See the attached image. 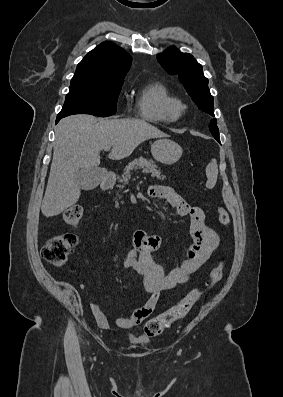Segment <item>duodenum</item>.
I'll list each match as a JSON object with an SVG mask.
<instances>
[{"mask_svg": "<svg viewBox=\"0 0 283 397\" xmlns=\"http://www.w3.org/2000/svg\"><path fill=\"white\" fill-rule=\"evenodd\" d=\"M114 184H115V177L113 175H107L101 183V188L103 190H109L114 186Z\"/></svg>", "mask_w": 283, "mask_h": 397, "instance_id": "410a0bca", "label": "duodenum"}]
</instances>
